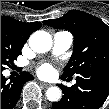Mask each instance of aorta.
I'll return each instance as SVG.
<instances>
[{
  "label": "aorta",
  "mask_w": 109,
  "mask_h": 109,
  "mask_svg": "<svg viewBox=\"0 0 109 109\" xmlns=\"http://www.w3.org/2000/svg\"><path fill=\"white\" fill-rule=\"evenodd\" d=\"M53 41L51 35L43 30L32 33L29 38V46L36 53H45L52 47ZM62 92L57 86L50 87L46 91V97L51 102H58L61 99Z\"/></svg>",
  "instance_id": "762f6f07"
}]
</instances>
